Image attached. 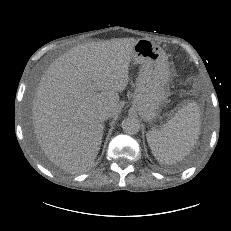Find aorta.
Wrapping results in <instances>:
<instances>
[{
  "mask_svg": "<svg viewBox=\"0 0 231 231\" xmlns=\"http://www.w3.org/2000/svg\"><path fill=\"white\" fill-rule=\"evenodd\" d=\"M122 129L126 134L134 135L140 130V122L138 119L133 117L125 118L122 121Z\"/></svg>",
  "mask_w": 231,
  "mask_h": 231,
  "instance_id": "aorta-1",
  "label": "aorta"
}]
</instances>
